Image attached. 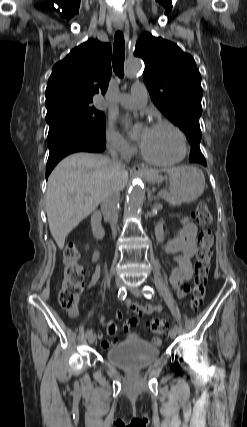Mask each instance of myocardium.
Returning <instances> with one entry per match:
<instances>
[{"instance_id":"f54148a6","label":"myocardium","mask_w":247,"mask_h":427,"mask_svg":"<svg viewBox=\"0 0 247 427\" xmlns=\"http://www.w3.org/2000/svg\"><path fill=\"white\" fill-rule=\"evenodd\" d=\"M156 127H167L170 128L179 138V142H180V152L178 154V156L174 159L171 160H157L154 158H151L150 156H148L145 151L142 149V147H139V151H140V155L141 157L148 163L152 164V165H156V166H173L176 165L178 163H180L186 156L187 153V139L186 136L184 134V132L174 123L168 121V120H160L157 121L156 123H154L152 125L151 128H156Z\"/></svg>"}]
</instances>
